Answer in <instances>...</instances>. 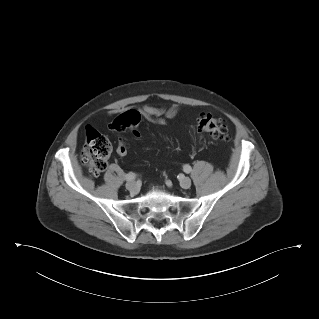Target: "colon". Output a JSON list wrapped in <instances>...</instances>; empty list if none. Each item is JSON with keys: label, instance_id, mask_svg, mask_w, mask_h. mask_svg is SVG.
Here are the masks:
<instances>
[{"label": "colon", "instance_id": "1", "mask_svg": "<svg viewBox=\"0 0 319 319\" xmlns=\"http://www.w3.org/2000/svg\"><path fill=\"white\" fill-rule=\"evenodd\" d=\"M141 122V115L137 110H129L121 114L114 122V128L119 132H136ZM198 131L207 134L213 139L226 140L228 126L220 118L211 114H203L198 119ZM112 148L107 137L89 129L85 145L82 150V161L94 176L101 174L108 163Z\"/></svg>", "mask_w": 319, "mask_h": 319}]
</instances>
